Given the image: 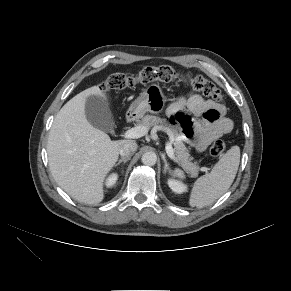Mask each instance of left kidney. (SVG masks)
Returning <instances> with one entry per match:
<instances>
[{
  "label": "left kidney",
  "mask_w": 291,
  "mask_h": 291,
  "mask_svg": "<svg viewBox=\"0 0 291 291\" xmlns=\"http://www.w3.org/2000/svg\"><path fill=\"white\" fill-rule=\"evenodd\" d=\"M168 185L172 191L178 194H181L187 190V187L184 184L174 179H169Z\"/></svg>",
  "instance_id": "1"
}]
</instances>
